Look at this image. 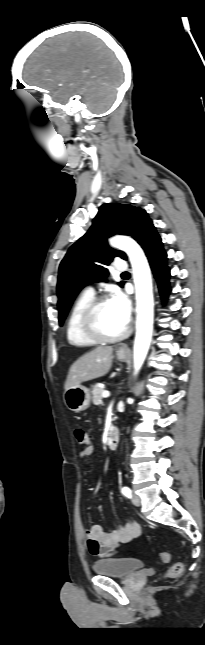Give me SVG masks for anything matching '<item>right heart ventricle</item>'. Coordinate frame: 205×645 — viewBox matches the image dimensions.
I'll use <instances>...</instances> for the list:
<instances>
[{
    "label": "right heart ventricle",
    "instance_id": "right-heart-ventricle-1",
    "mask_svg": "<svg viewBox=\"0 0 205 645\" xmlns=\"http://www.w3.org/2000/svg\"><path fill=\"white\" fill-rule=\"evenodd\" d=\"M93 299V295L82 293L74 301L66 322V337L70 345L86 347L97 344L85 334L82 327L83 313Z\"/></svg>",
    "mask_w": 205,
    "mask_h": 645
}]
</instances>
